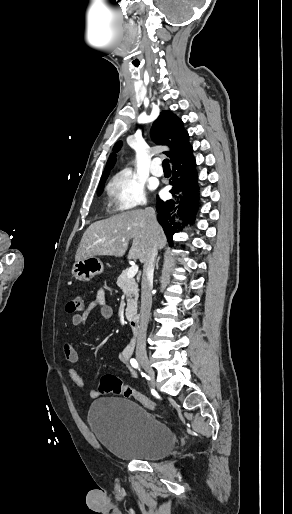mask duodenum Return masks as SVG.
Returning a JSON list of instances; mask_svg holds the SVG:
<instances>
[{"label": "duodenum", "mask_w": 292, "mask_h": 514, "mask_svg": "<svg viewBox=\"0 0 292 514\" xmlns=\"http://www.w3.org/2000/svg\"><path fill=\"white\" fill-rule=\"evenodd\" d=\"M140 321L139 317L134 315L129 320V327L133 334H137L139 331Z\"/></svg>", "instance_id": "410a0bca"}]
</instances>
